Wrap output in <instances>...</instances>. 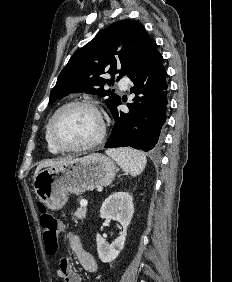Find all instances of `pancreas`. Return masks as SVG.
<instances>
[{
    "instance_id": "cf45deb5",
    "label": "pancreas",
    "mask_w": 232,
    "mask_h": 282,
    "mask_svg": "<svg viewBox=\"0 0 232 282\" xmlns=\"http://www.w3.org/2000/svg\"><path fill=\"white\" fill-rule=\"evenodd\" d=\"M87 208L86 207H80L77 209V211L73 214L74 217L78 220H83L86 217Z\"/></svg>"
}]
</instances>
